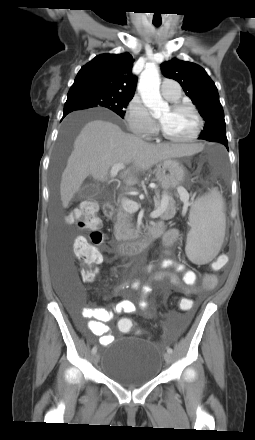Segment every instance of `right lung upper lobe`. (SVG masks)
Wrapping results in <instances>:
<instances>
[{
  "label": "right lung upper lobe",
  "mask_w": 255,
  "mask_h": 440,
  "mask_svg": "<svg viewBox=\"0 0 255 440\" xmlns=\"http://www.w3.org/2000/svg\"><path fill=\"white\" fill-rule=\"evenodd\" d=\"M133 62L129 53L98 55L80 69L68 94L104 92L133 97L137 83L131 73Z\"/></svg>",
  "instance_id": "obj_1"
}]
</instances>
